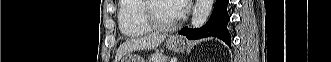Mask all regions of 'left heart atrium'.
<instances>
[{
    "label": "left heart atrium",
    "mask_w": 331,
    "mask_h": 62,
    "mask_svg": "<svg viewBox=\"0 0 331 62\" xmlns=\"http://www.w3.org/2000/svg\"><path fill=\"white\" fill-rule=\"evenodd\" d=\"M171 2L173 4L174 13L179 17L188 9L190 0H173Z\"/></svg>",
    "instance_id": "39dd6f15"
}]
</instances>
